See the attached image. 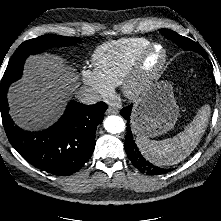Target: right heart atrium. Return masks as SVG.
I'll list each match as a JSON object with an SVG mask.
<instances>
[{
    "label": "right heart atrium",
    "mask_w": 221,
    "mask_h": 221,
    "mask_svg": "<svg viewBox=\"0 0 221 221\" xmlns=\"http://www.w3.org/2000/svg\"><path fill=\"white\" fill-rule=\"evenodd\" d=\"M82 79L97 96L108 97L111 95L113 87L107 84L95 69L84 68Z\"/></svg>",
    "instance_id": "right-heart-atrium-1"
}]
</instances>
